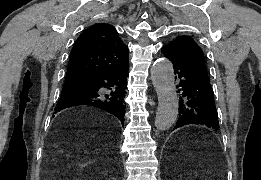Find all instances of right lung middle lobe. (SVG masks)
Returning a JSON list of instances; mask_svg holds the SVG:
<instances>
[{"label":"right lung middle lobe","mask_w":261,"mask_h":180,"mask_svg":"<svg viewBox=\"0 0 261 180\" xmlns=\"http://www.w3.org/2000/svg\"><path fill=\"white\" fill-rule=\"evenodd\" d=\"M89 83L88 82H65L63 89H62V94L61 96H65L67 94H70L72 92H76L79 90H84L88 88Z\"/></svg>","instance_id":"1"}]
</instances>
